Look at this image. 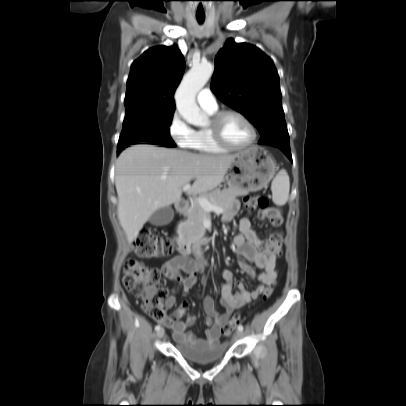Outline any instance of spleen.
Returning <instances> with one entry per match:
<instances>
[{
	"label": "spleen",
	"mask_w": 406,
	"mask_h": 406,
	"mask_svg": "<svg viewBox=\"0 0 406 406\" xmlns=\"http://www.w3.org/2000/svg\"><path fill=\"white\" fill-rule=\"evenodd\" d=\"M272 199L277 205H284L289 198L290 180L285 169L278 172L271 185Z\"/></svg>",
	"instance_id": "spleen-1"
}]
</instances>
